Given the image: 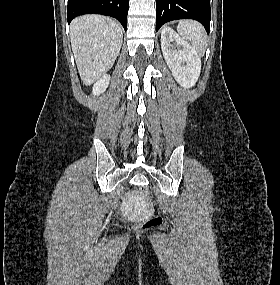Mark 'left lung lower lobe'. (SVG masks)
<instances>
[{"mask_svg": "<svg viewBox=\"0 0 280 285\" xmlns=\"http://www.w3.org/2000/svg\"><path fill=\"white\" fill-rule=\"evenodd\" d=\"M194 19L210 30V0H156V31L168 21Z\"/></svg>", "mask_w": 280, "mask_h": 285, "instance_id": "1", "label": "left lung lower lobe"}]
</instances>
